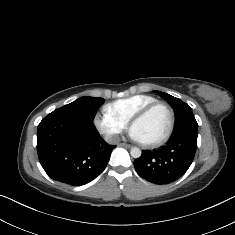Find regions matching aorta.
I'll return each mask as SVG.
<instances>
[{
	"label": "aorta",
	"mask_w": 235,
	"mask_h": 235,
	"mask_svg": "<svg viewBox=\"0 0 235 235\" xmlns=\"http://www.w3.org/2000/svg\"><path fill=\"white\" fill-rule=\"evenodd\" d=\"M130 154L133 158H139L141 156V150L138 147H132Z\"/></svg>",
	"instance_id": "obj_1"
}]
</instances>
